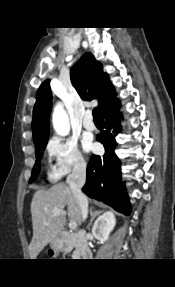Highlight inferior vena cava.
Returning a JSON list of instances; mask_svg holds the SVG:
<instances>
[{"label": "inferior vena cava", "instance_id": "1", "mask_svg": "<svg viewBox=\"0 0 175 287\" xmlns=\"http://www.w3.org/2000/svg\"><path fill=\"white\" fill-rule=\"evenodd\" d=\"M85 181L86 164L84 161H79L74 165L73 171L68 175L66 182L79 204L83 220H85L88 215V200L81 191Z\"/></svg>", "mask_w": 175, "mask_h": 287}]
</instances>
